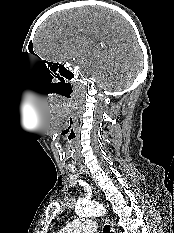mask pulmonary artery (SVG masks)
Here are the masks:
<instances>
[{
    "label": "pulmonary artery",
    "mask_w": 174,
    "mask_h": 233,
    "mask_svg": "<svg viewBox=\"0 0 174 233\" xmlns=\"http://www.w3.org/2000/svg\"><path fill=\"white\" fill-rule=\"evenodd\" d=\"M95 231V221L82 218L72 221L58 233H94Z\"/></svg>",
    "instance_id": "1"
}]
</instances>
